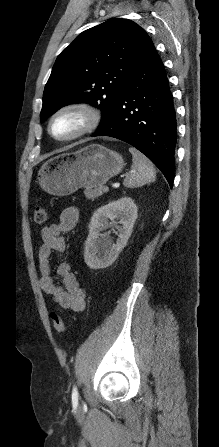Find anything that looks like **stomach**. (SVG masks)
Masks as SVG:
<instances>
[{
	"instance_id": "0dacf381",
	"label": "stomach",
	"mask_w": 219,
	"mask_h": 447,
	"mask_svg": "<svg viewBox=\"0 0 219 447\" xmlns=\"http://www.w3.org/2000/svg\"><path fill=\"white\" fill-rule=\"evenodd\" d=\"M124 167L122 156L99 144L62 153L46 161L38 171L41 188L56 196H67L79 188H97Z\"/></svg>"
}]
</instances>
